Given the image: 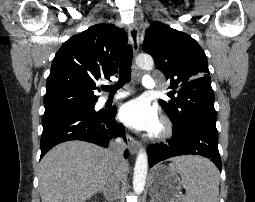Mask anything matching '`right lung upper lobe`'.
I'll return each instance as SVG.
<instances>
[{"label":"right lung upper lobe","mask_w":255,"mask_h":202,"mask_svg":"<svg viewBox=\"0 0 255 202\" xmlns=\"http://www.w3.org/2000/svg\"><path fill=\"white\" fill-rule=\"evenodd\" d=\"M127 34L113 24H97L69 38L56 53L47 80L45 113L94 103L99 79L117 72Z\"/></svg>","instance_id":"cb5924a9"}]
</instances>
